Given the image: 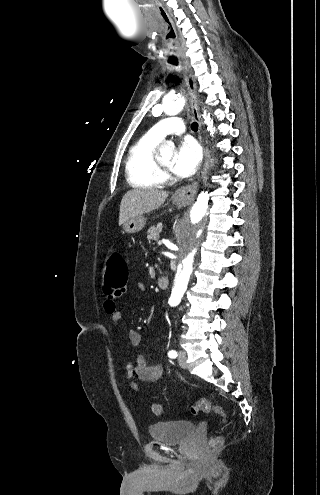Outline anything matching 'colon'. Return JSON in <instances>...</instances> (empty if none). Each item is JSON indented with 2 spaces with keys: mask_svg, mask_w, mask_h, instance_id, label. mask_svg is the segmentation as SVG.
<instances>
[{
  "mask_svg": "<svg viewBox=\"0 0 320 495\" xmlns=\"http://www.w3.org/2000/svg\"><path fill=\"white\" fill-rule=\"evenodd\" d=\"M128 279V267L125 259L119 253L112 254L106 262L104 270L103 288L106 293L116 292L121 293ZM153 413L161 415L164 412V407L160 403H155L152 406ZM191 413L193 415L215 414L219 416L222 421H226V413L222 407L213 404L206 398L197 400L191 406ZM223 443L222 436H216L209 442L210 449H216Z\"/></svg>",
  "mask_w": 320,
  "mask_h": 495,
  "instance_id": "colon-1",
  "label": "colon"
}]
</instances>
